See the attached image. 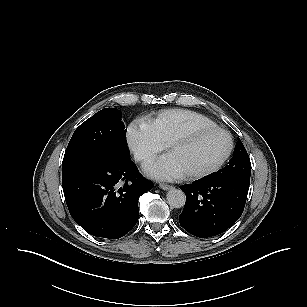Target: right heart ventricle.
I'll use <instances>...</instances> for the list:
<instances>
[{"mask_svg":"<svg viewBox=\"0 0 307 307\" xmlns=\"http://www.w3.org/2000/svg\"><path fill=\"white\" fill-rule=\"evenodd\" d=\"M143 123L163 147L193 129L216 126L207 116L186 109L164 110Z\"/></svg>","mask_w":307,"mask_h":307,"instance_id":"right-heart-ventricle-1","label":"right heart ventricle"}]
</instances>
